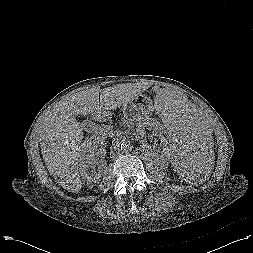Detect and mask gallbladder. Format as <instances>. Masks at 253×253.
<instances>
[{
    "instance_id": "obj_1",
    "label": "gallbladder",
    "mask_w": 253,
    "mask_h": 253,
    "mask_svg": "<svg viewBox=\"0 0 253 253\" xmlns=\"http://www.w3.org/2000/svg\"><path fill=\"white\" fill-rule=\"evenodd\" d=\"M82 124L84 125V128H85L86 130H88V129H89V126H91V121H90V120H84V121L82 122Z\"/></svg>"
}]
</instances>
